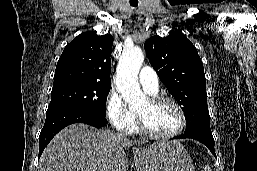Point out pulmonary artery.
Here are the masks:
<instances>
[{
  "label": "pulmonary artery",
  "instance_id": "1",
  "mask_svg": "<svg viewBox=\"0 0 257 171\" xmlns=\"http://www.w3.org/2000/svg\"><path fill=\"white\" fill-rule=\"evenodd\" d=\"M139 82L146 92L150 94H156L158 92L159 78L153 68L148 66L143 67L139 73Z\"/></svg>",
  "mask_w": 257,
  "mask_h": 171
}]
</instances>
